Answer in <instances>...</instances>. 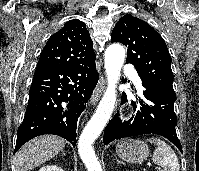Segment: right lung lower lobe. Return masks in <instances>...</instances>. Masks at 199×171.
I'll return each mask as SVG.
<instances>
[{
	"mask_svg": "<svg viewBox=\"0 0 199 171\" xmlns=\"http://www.w3.org/2000/svg\"><path fill=\"white\" fill-rule=\"evenodd\" d=\"M95 59L72 66L37 67L14 152L30 139L55 134L76 145L78 117L98 82Z\"/></svg>",
	"mask_w": 199,
	"mask_h": 171,
	"instance_id": "98d812e1",
	"label": "right lung lower lobe"
}]
</instances>
